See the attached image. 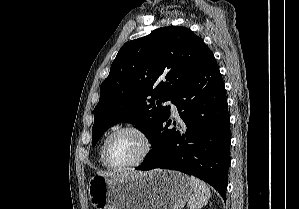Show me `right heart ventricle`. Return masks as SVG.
Returning <instances> with one entry per match:
<instances>
[{
  "label": "right heart ventricle",
  "mask_w": 299,
  "mask_h": 209,
  "mask_svg": "<svg viewBox=\"0 0 299 209\" xmlns=\"http://www.w3.org/2000/svg\"><path fill=\"white\" fill-rule=\"evenodd\" d=\"M108 136H109V134L105 136V138L103 139V141L101 143L100 149H99V158H100V161L102 162V164H104V162H103V149H104V145H105V142H106V139H107Z\"/></svg>",
  "instance_id": "obj_1"
}]
</instances>
